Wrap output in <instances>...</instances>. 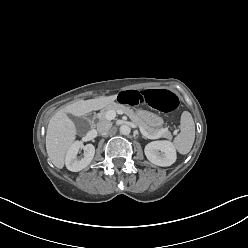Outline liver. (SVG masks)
<instances>
[{"mask_svg": "<svg viewBox=\"0 0 248 248\" xmlns=\"http://www.w3.org/2000/svg\"><path fill=\"white\" fill-rule=\"evenodd\" d=\"M116 95L98 97L89 100H79L65 106L50 119L46 133L47 154L55 167H64L65 155L74 143L77 129L74 122L68 117L72 114L76 117L85 116L91 111L100 110L112 104Z\"/></svg>", "mask_w": 248, "mask_h": 248, "instance_id": "1", "label": "liver"}]
</instances>
